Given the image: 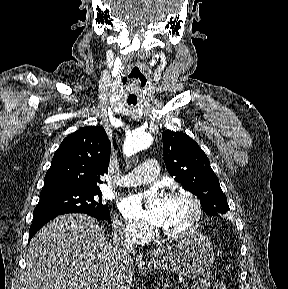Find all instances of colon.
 Instances as JSON below:
<instances>
[{
	"mask_svg": "<svg viewBox=\"0 0 288 289\" xmlns=\"http://www.w3.org/2000/svg\"><path fill=\"white\" fill-rule=\"evenodd\" d=\"M214 289H226V286H225V284L223 282L218 281V282L215 283Z\"/></svg>",
	"mask_w": 288,
	"mask_h": 289,
	"instance_id": "obj_1",
	"label": "colon"
}]
</instances>
